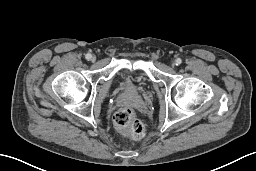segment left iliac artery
Instances as JSON below:
<instances>
[{
  "label": "left iliac artery",
  "instance_id": "44dca946",
  "mask_svg": "<svg viewBox=\"0 0 256 171\" xmlns=\"http://www.w3.org/2000/svg\"><path fill=\"white\" fill-rule=\"evenodd\" d=\"M182 63V60L180 58L176 59V65H180Z\"/></svg>",
  "mask_w": 256,
  "mask_h": 171
}]
</instances>
